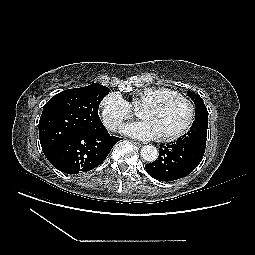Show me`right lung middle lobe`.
Listing matches in <instances>:
<instances>
[{
  "mask_svg": "<svg viewBox=\"0 0 255 255\" xmlns=\"http://www.w3.org/2000/svg\"><path fill=\"white\" fill-rule=\"evenodd\" d=\"M109 91V88L93 83L62 91L45 104L39 121L40 143L45 156L74 133L105 130L98 108Z\"/></svg>",
  "mask_w": 255,
  "mask_h": 255,
  "instance_id": "right-lung-middle-lobe-1",
  "label": "right lung middle lobe"
}]
</instances>
